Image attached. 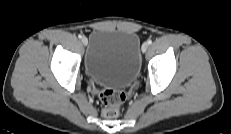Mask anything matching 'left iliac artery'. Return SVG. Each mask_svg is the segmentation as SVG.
Instances as JSON below:
<instances>
[{
    "instance_id": "44dca946",
    "label": "left iliac artery",
    "mask_w": 231,
    "mask_h": 134,
    "mask_svg": "<svg viewBox=\"0 0 231 134\" xmlns=\"http://www.w3.org/2000/svg\"><path fill=\"white\" fill-rule=\"evenodd\" d=\"M147 43H148L149 45L152 44V40L149 39V40L147 41Z\"/></svg>"
}]
</instances>
